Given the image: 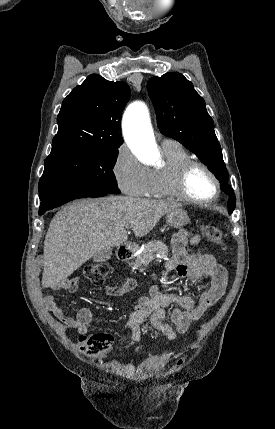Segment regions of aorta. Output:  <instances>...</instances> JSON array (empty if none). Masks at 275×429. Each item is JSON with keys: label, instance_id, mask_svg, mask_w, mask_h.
I'll list each match as a JSON object with an SVG mask.
<instances>
[{"label": "aorta", "instance_id": "obj_1", "mask_svg": "<svg viewBox=\"0 0 275 429\" xmlns=\"http://www.w3.org/2000/svg\"><path fill=\"white\" fill-rule=\"evenodd\" d=\"M122 127L125 141L133 154L147 164H155L159 151L146 105L141 102L130 105L124 113Z\"/></svg>", "mask_w": 275, "mask_h": 429}]
</instances>
